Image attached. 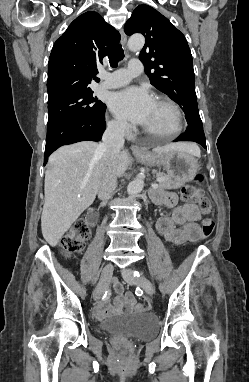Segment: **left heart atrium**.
I'll list each match as a JSON object with an SVG mask.
<instances>
[{"instance_id": "left-heart-atrium-1", "label": "left heart atrium", "mask_w": 249, "mask_h": 382, "mask_svg": "<svg viewBox=\"0 0 249 382\" xmlns=\"http://www.w3.org/2000/svg\"><path fill=\"white\" fill-rule=\"evenodd\" d=\"M155 100L146 88L129 87L114 93L109 100L111 111L119 118L143 125L149 118Z\"/></svg>"}]
</instances>
